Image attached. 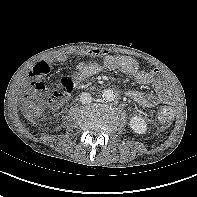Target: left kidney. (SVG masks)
I'll list each match as a JSON object with an SVG mask.
<instances>
[{"mask_svg": "<svg viewBox=\"0 0 197 197\" xmlns=\"http://www.w3.org/2000/svg\"><path fill=\"white\" fill-rule=\"evenodd\" d=\"M130 127L138 134H144L147 131V123L140 115H134L130 119Z\"/></svg>", "mask_w": 197, "mask_h": 197, "instance_id": "obj_1", "label": "left kidney"}]
</instances>
